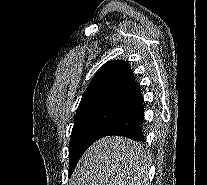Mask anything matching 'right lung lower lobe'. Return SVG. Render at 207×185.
Returning <instances> with one entry per match:
<instances>
[{"label":"right lung lower lobe","mask_w":207,"mask_h":185,"mask_svg":"<svg viewBox=\"0 0 207 185\" xmlns=\"http://www.w3.org/2000/svg\"><path fill=\"white\" fill-rule=\"evenodd\" d=\"M144 121L143 97L141 96L104 132L100 137L118 135L133 139L134 141H144L142 134Z\"/></svg>","instance_id":"98d812e1"}]
</instances>
